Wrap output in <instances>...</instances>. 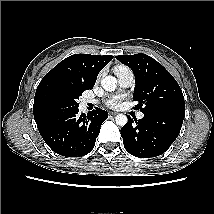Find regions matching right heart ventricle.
Here are the masks:
<instances>
[{"mask_svg":"<svg viewBox=\"0 0 214 214\" xmlns=\"http://www.w3.org/2000/svg\"><path fill=\"white\" fill-rule=\"evenodd\" d=\"M121 67H125V66L118 65V66L115 67V69H116V68H121Z\"/></svg>","mask_w":214,"mask_h":214,"instance_id":"1","label":"right heart ventricle"}]
</instances>
